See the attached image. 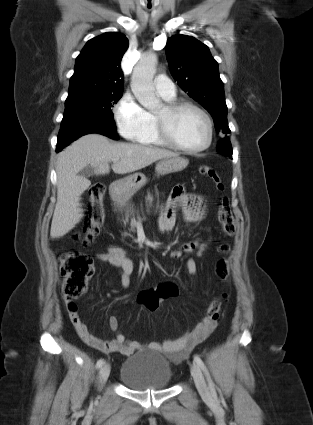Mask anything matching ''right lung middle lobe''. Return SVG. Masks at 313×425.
Returning <instances> with one entry per match:
<instances>
[{"mask_svg": "<svg viewBox=\"0 0 313 425\" xmlns=\"http://www.w3.org/2000/svg\"><path fill=\"white\" fill-rule=\"evenodd\" d=\"M122 92H82L69 94L65 101V112L77 110L113 118L111 107L122 97Z\"/></svg>", "mask_w": 313, "mask_h": 425, "instance_id": "dd1d6c3e", "label": "right lung middle lobe"}]
</instances>
